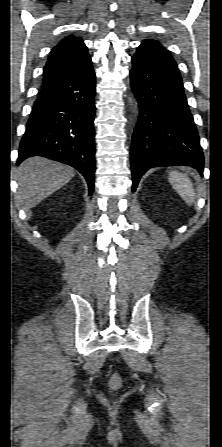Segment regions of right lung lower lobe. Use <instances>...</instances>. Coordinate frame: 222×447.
<instances>
[{"mask_svg":"<svg viewBox=\"0 0 222 447\" xmlns=\"http://www.w3.org/2000/svg\"><path fill=\"white\" fill-rule=\"evenodd\" d=\"M95 73L89 58L71 77L39 95L22 137L17 164L44 156L76 168L94 188Z\"/></svg>","mask_w":222,"mask_h":447,"instance_id":"1","label":"right lung lower lobe"}]
</instances>
